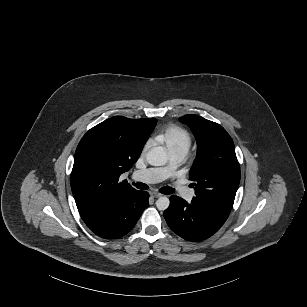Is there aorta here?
<instances>
[{"label":"aorta","mask_w":307,"mask_h":307,"mask_svg":"<svg viewBox=\"0 0 307 307\" xmlns=\"http://www.w3.org/2000/svg\"><path fill=\"white\" fill-rule=\"evenodd\" d=\"M147 161L153 166H165L169 162L167 150L163 146H156L147 152ZM170 200L168 197L161 196L156 201V206L159 210L164 211L168 208Z\"/></svg>","instance_id":"aorta-1"}]
</instances>
